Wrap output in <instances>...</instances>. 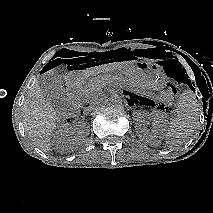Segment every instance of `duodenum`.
I'll use <instances>...</instances> for the list:
<instances>
[{"label": "duodenum", "mask_w": 213, "mask_h": 213, "mask_svg": "<svg viewBox=\"0 0 213 213\" xmlns=\"http://www.w3.org/2000/svg\"><path fill=\"white\" fill-rule=\"evenodd\" d=\"M78 90V87L77 86H73V87H71V91L72 92H76ZM92 107V104H86V105H84L83 107H82V110H87V109H89V108H91Z\"/></svg>", "instance_id": "410a0bca"}]
</instances>
